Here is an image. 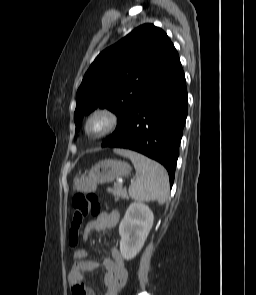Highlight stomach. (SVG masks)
I'll list each match as a JSON object with an SVG mask.
<instances>
[{
  "instance_id": "1",
  "label": "stomach",
  "mask_w": 256,
  "mask_h": 295,
  "mask_svg": "<svg viewBox=\"0 0 256 295\" xmlns=\"http://www.w3.org/2000/svg\"><path fill=\"white\" fill-rule=\"evenodd\" d=\"M131 167L128 163L104 159L97 162L83 174L79 173L73 182L74 190L89 193L94 192L99 184H105L114 181L116 178L128 176Z\"/></svg>"
}]
</instances>
